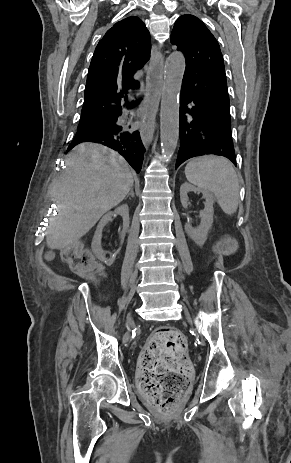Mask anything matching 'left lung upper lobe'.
<instances>
[{"instance_id":"1","label":"left lung upper lobe","mask_w":291,"mask_h":463,"mask_svg":"<svg viewBox=\"0 0 291 463\" xmlns=\"http://www.w3.org/2000/svg\"><path fill=\"white\" fill-rule=\"evenodd\" d=\"M171 43L186 59L181 91L197 97L211 110L230 117L223 56L213 34L201 20L187 14L177 19Z\"/></svg>"}]
</instances>
